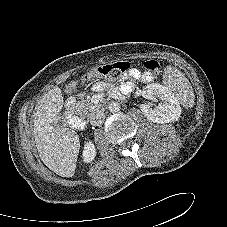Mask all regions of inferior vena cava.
I'll return each instance as SVG.
<instances>
[{
  "mask_svg": "<svg viewBox=\"0 0 227 227\" xmlns=\"http://www.w3.org/2000/svg\"><path fill=\"white\" fill-rule=\"evenodd\" d=\"M105 120V113L101 110H96L90 115V123L94 126H99Z\"/></svg>",
  "mask_w": 227,
  "mask_h": 227,
  "instance_id": "602c4592",
  "label": "inferior vena cava"
}]
</instances>
